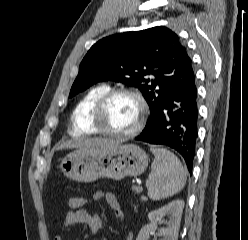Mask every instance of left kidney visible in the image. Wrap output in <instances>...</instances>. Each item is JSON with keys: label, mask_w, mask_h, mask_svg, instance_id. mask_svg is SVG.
<instances>
[{"label": "left kidney", "mask_w": 248, "mask_h": 240, "mask_svg": "<svg viewBox=\"0 0 248 240\" xmlns=\"http://www.w3.org/2000/svg\"><path fill=\"white\" fill-rule=\"evenodd\" d=\"M184 208L183 200H175L160 209L151 211L148 214L150 223L142 227L136 240H148L149 235L157 229V223L167 216V227L160 229L159 234L163 237L162 240H177L180 227L181 216Z\"/></svg>", "instance_id": "5707ae66"}]
</instances>
